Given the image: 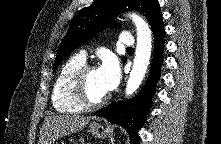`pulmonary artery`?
<instances>
[{
  "instance_id": "pulmonary-artery-1",
  "label": "pulmonary artery",
  "mask_w": 221,
  "mask_h": 144,
  "mask_svg": "<svg viewBox=\"0 0 221 144\" xmlns=\"http://www.w3.org/2000/svg\"><path fill=\"white\" fill-rule=\"evenodd\" d=\"M119 42L122 45L131 47L134 44V38L129 32H123L119 37ZM79 55L84 59L87 57V53L85 51H82Z\"/></svg>"
}]
</instances>
